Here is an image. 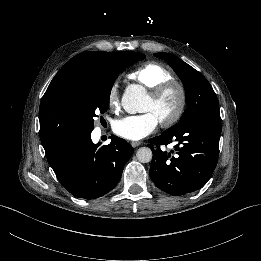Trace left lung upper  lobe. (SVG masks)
Returning a JSON list of instances; mask_svg holds the SVG:
<instances>
[{
    "label": "left lung upper lobe",
    "mask_w": 261,
    "mask_h": 261,
    "mask_svg": "<svg viewBox=\"0 0 261 261\" xmlns=\"http://www.w3.org/2000/svg\"><path fill=\"white\" fill-rule=\"evenodd\" d=\"M169 63L186 91L187 109L181 120L164 132L174 133L200 120L220 122L219 102L208 80L193 67L170 53H155Z\"/></svg>",
    "instance_id": "left-lung-upper-lobe-1"
}]
</instances>
